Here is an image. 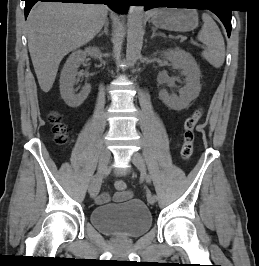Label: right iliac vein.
I'll return each mask as SVG.
<instances>
[{
    "label": "right iliac vein",
    "mask_w": 259,
    "mask_h": 266,
    "mask_svg": "<svg viewBox=\"0 0 259 266\" xmlns=\"http://www.w3.org/2000/svg\"><path fill=\"white\" fill-rule=\"evenodd\" d=\"M109 160H110V152L106 147H103L101 152H100V157H99L98 173H97L98 176H97V179L95 180V185L93 186L91 191H89L90 196L92 198L96 197L98 192H99L101 179H102L103 174L107 168Z\"/></svg>",
    "instance_id": "obj_1"
}]
</instances>
